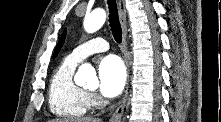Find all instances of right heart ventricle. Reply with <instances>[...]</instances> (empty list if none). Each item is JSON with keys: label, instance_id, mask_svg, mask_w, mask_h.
<instances>
[{"label": "right heart ventricle", "instance_id": "right-heart-ventricle-1", "mask_svg": "<svg viewBox=\"0 0 221 122\" xmlns=\"http://www.w3.org/2000/svg\"><path fill=\"white\" fill-rule=\"evenodd\" d=\"M78 62L65 58L54 71L48 88V102L53 114L61 117H81L91 108L88 94L74 81Z\"/></svg>", "mask_w": 221, "mask_h": 122}]
</instances>
